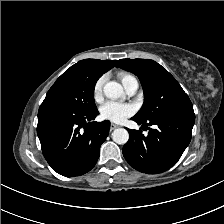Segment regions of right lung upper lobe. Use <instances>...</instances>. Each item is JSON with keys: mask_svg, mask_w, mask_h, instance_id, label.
Listing matches in <instances>:
<instances>
[{"mask_svg": "<svg viewBox=\"0 0 224 224\" xmlns=\"http://www.w3.org/2000/svg\"><path fill=\"white\" fill-rule=\"evenodd\" d=\"M80 62L90 66L102 74L113 68L116 64V60L85 59Z\"/></svg>", "mask_w": 224, "mask_h": 224, "instance_id": "obj_1", "label": "right lung upper lobe"}]
</instances>
